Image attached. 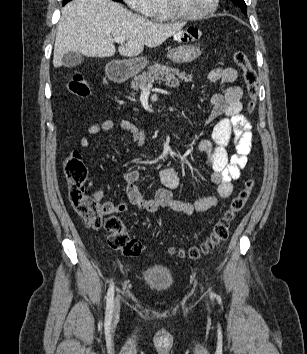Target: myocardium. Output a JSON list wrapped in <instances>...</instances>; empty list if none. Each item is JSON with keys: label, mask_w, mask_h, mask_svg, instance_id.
Masks as SVG:
<instances>
[{"label": "myocardium", "mask_w": 307, "mask_h": 354, "mask_svg": "<svg viewBox=\"0 0 307 354\" xmlns=\"http://www.w3.org/2000/svg\"><path fill=\"white\" fill-rule=\"evenodd\" d=\"M163 2L166 11L168 12L171 18L177 20L196 21V20L205 19L210 15H212L217 10L220 0H212L210 6L205 11L198 14H187L182 12L178 8L175 0H163Z\"/></svg>", "instance_id": "obj_1"}]
</instances>
